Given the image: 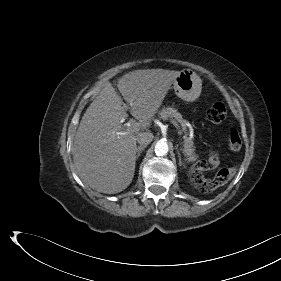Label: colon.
<instances>
[{
    "label": "colon",
    "mask_w": 281,
    "mask_h": 281,
    "mask_svg": "<svg viewBox=\"0 0 281 281\" xmlns=\"http://www.w3.org/2000/svg\"><path fill=\"white\" fill-rule=\"evenodd\" d=\"M227 109L221 102L213 104L207 111V119L212 123H221L225 120ZM227 144L231 150H239L242 145L240 135L235 129H231ZM219 164V156L216 152H211L209 156L198 163L197 169L191 174V181L204 192H211L217 187L226 183L236 172L235 168H225L218 171L213 179H205L201 175L202 170L215 168Z\"/></svg>",
    "instance_id": "1"
}]
</instances>
